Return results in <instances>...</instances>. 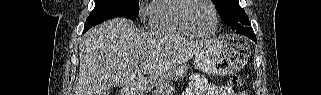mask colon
<instances>
[{"label":"colon","instance_id":"obj_1","mask_svg":"<svg viewBox=\"0 0 321 95\" xmlns=\"http://www.w3.org/2000/svg\"><path fill=\"white\" fill-rule=\"evenodd\" d=\"M244 83V78L241 75H233L230 78V84L234 87L242 86Z\"/></svg>","mask_w":321,"mask_h":95}]
</instances>
